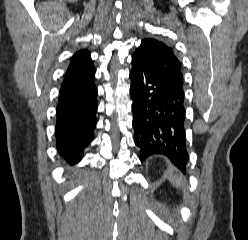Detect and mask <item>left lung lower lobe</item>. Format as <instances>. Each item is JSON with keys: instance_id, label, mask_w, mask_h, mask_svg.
I'll return each mask as SVG.
<instances>
[{"instance_id": "left-lung-lower-lobe-1", "label": "left lung lower lobe", "mask_w": 248, "mask_h": 240, "mask_svg": "<svg viewBox=\"0 0 248 240\" xmlns=\"http://www.w3.org/2000/svg\"><path fill=\"white\" fill-rule=\"evenodd\" d=\"M132 65V124L139 158L143 161L151 155H164L184 171L189 159L184 91L139 58L132 56Z\"/></svg>"}]
</instances>
